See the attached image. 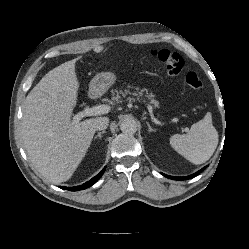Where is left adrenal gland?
I'll use <instances>...</instances> for the list:
<instances>
[{
    "label": "left adrenal gland",
    "instance_id": "obj_1",
    "mask_svg": "<svg viewBox=\"0 0 249 249\" xmlns=\"http://www.w3.org/2000/svg\"><path fill=\"white\" fill-rule=\"evenodd\" d=\"M146 123H147L148 131H149V132H156V130L153 129V128L150 126V124H149L148 122H146Z\"/></svg>",
    "mask_w": 249,
    "mask_h": 249
}]
</instances>
